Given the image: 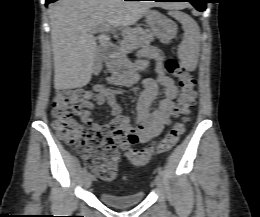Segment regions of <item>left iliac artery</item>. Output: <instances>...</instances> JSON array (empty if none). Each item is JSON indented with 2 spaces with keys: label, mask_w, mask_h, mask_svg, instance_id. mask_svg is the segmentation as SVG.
<instances>
[{
  "label": "left iliac artery",
  "mask_w": 260,
  "mask_h": 217,
  "mask_svg": "<svg viewBox=\"0 0 260 217\" xmlns=\"http://www.w3.org/2000/svg\"><path fill=\"white\" fill-rule=\"evenodd\" d=\"M157 170H158L159 175H160L161 177H163V176H164V172H163L162 168H161V167H158Z\"/></svg>",
  "instance_id": "obj_1"
}]
</instances>
